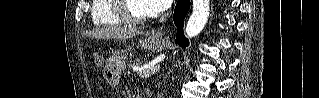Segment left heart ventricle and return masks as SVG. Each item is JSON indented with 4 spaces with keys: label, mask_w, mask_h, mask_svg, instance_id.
<instances>
[{
    "label": "left heart ventricle",
    "mask_w": 319,
    "mask_h": 98,
    "mask_svg": "<svg viewBox=\"0 0 319 98\" xmlns=\"http://www.w3.org/2000/svg\"><path fill=\"white\" fill-rule=\"evenodd\" d=\"M126 12L134 17H143L150 14L146 7V3L142 0H128L125 3Z\"/></svg>",
    "instance_id": "left-heart-ventricle-1"
}]
</instances>
